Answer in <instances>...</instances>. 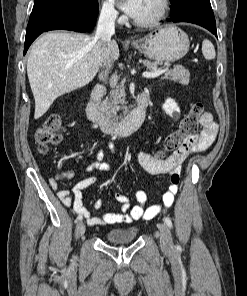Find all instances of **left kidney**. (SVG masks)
<instances>
[{"label":"left kidney","instance_id":"obj_1","mask_svg":"<svg viewBox=\"0 0 247 296\" xmlns=\"http://www.w3.org/2000/svg\"><path fill=\"white\" fill-rule=\"evenodd\" d=\"M162 108L165 111V113L172 118L178 117L180 114V108L178 107L177 103L173 99H170V98L166 99Z\"/></svg>","mask_w":247,"mask_h":296}]
</instances>
